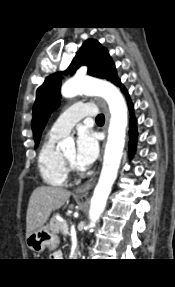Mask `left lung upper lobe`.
<instances>
[{
    "label": "left lung upper lobe",
    "instance_id": "1",
    "mask_svg": "<svg viewBox=\"0 0 175 287\" xmlns=\"http://www.w3.org/2000/svg\"><path fill=\"white\" fill-rule=\"evenodd\" d=\"M88 66V75L103 78L111 81L121 89L124 86L117 77L115 65L109 52L97 40H86L70 66L64 72H56L48 76L36 92V101L33 106L32 130L35 140V147L38 146L42 130L44 129L49 116L59 106L60 86L62 74L73 75L82 66Z\"/></svg>",
    "mask_w": 175,
    "mask_h": 287
}]
</instances>
